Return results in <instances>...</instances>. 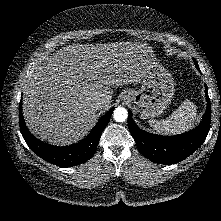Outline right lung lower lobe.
<instances>
[{
	"label": "right lung lower lobe",
	"mask_w": 221,
	"mask_h": 221,
	"mask_svg": "<svg viewBox=\"0 0 221 221\" xmlns=\"http://www.w3.org/2000/svg\"><path fill=\"white\" fill-rule=\"evenodd\" d=\"M113 108L109 110L95 125L91 133L79 143L71 146L58 147L40 141L28 130L22 114V104L19 109V125L22 136L29 148L40 158L59 167H71L81 164L92 157L103 129L107 125Z\"/></svg>",
	"instance_id": "right-lung-lower-lobe-1"
}]
</instances>
